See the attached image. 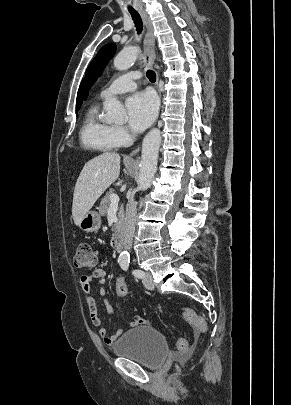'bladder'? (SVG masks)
I'll use <instances>...</instances> for the list:
<instances>
[{
	"instance_id": "bladder-1",
	"label": "bladder",
	"mask_w": 291,
	"mask_h": 405,
	"mask_svg": "<svg viewBox=\"0 0 291 405\" xmlns=\"http://www.w3.org/2000/svg\"><path fill=\"white\" fill-rule=\"evenodd\" d=\"M117 356L128 358L140 365L155 369L169 354L165 336L157 329L142 325L127 331L113 346Z\"/></svg>"
}]
</instances>
